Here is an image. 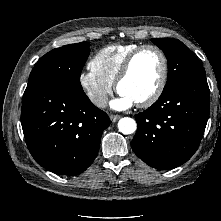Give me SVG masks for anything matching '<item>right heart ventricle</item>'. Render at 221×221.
Returning a JSON list of instances; mask_svg holds the SVG:
<instances>
[{
  "label": "right heart ventricle",
  "instance_id": "e07e8e85",
  "mask_svg": "<svg viewBox=\"0 0 221 221\" xmlns=\"http://www.w3.org/2000/svg\"><path fill=\"white\" fill-rule=\"evenodd\" d=\"M141 46L138 43L113 44L99 50L90 61V68L99 76L115 83L128 55Z\"/></svg>",
  "mask_w": 221,
  "mask_h": 221
}]
</instances>
